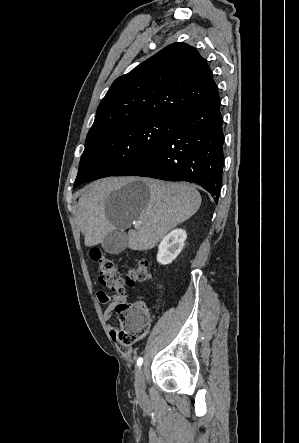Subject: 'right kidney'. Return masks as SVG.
<instances>
[{
	"label": "right kidney",
	"instance_id": "ca27d5eb",
	"mask_svg": "<svg viewBox=\"0 0 299 443\" xmlns=\"http://www.w3.org/2000/svg\"><path fill=\"white\" fill-rule=\"evenodd\" d=\"M186 238V231L182 229L167 234L159 244L157 261L163 265L171 263L182 251Z\"/></svg>",
	"mask_w": 299,
	"mask_h": 443
}]
</instances>
